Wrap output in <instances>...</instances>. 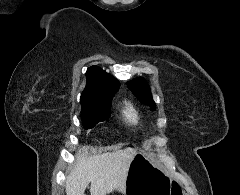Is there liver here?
I'll return each mask as SVG.
<instances>
[{
	"instance_id": "1",
	"label": "liver",
	"mask_w": 240,
	"mask_h": 195,
	"mask_svg": "<svg viewBox=\"0 0 240 195\" xmlns=\"http://www.w3.org/2000/svg\"><path fill=\"white\" fill-rule=\"evenodd\" d=\"M133 155V147L106 151L101 155H87L85 147H82L77 151V161L66 177V195H85L88 183H91V195H107L115 189L124 193Z\"/></svg>"
}]
</instances>
